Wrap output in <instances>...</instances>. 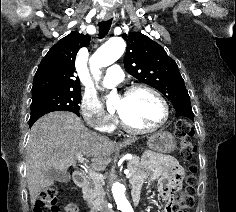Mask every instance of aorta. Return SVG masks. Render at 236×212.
<instances>
[{
    "instance_id": "obj_1",
    "label": "aorta",
    "mask_w": 236,
    "mask_h": 212,
    "mask_svg": "<svg viewBox=\"0 0 236 212\" xmlns=\"http://www.w3.org/2000/svg\"><path fill=\"white\" fill-rule=\"evenodd\" d=\"M125 42L120 37H113L102 45L90 58V70L95 80L101 76L100 68L106 67L117 61L125 51ZM116 99L115 95L108 97L107 103H112ZM113 198L116 202L117 209L121 212H134L131 204L126 198L125 187L114 182L111 187Z\"/></svg>"
}]
</instances>
